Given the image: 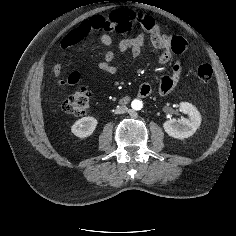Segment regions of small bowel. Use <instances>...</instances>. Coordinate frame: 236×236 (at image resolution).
Returning <instances> with one entry per match:
<instances>
[{"instance_id":"small-bowel-1","label":"small bowel","mask_w":236,"mask_h":236,"mask_svg":"<svg viewBox=\"0 0 236 236\" xmlns=\"http://www.w3.org/2000/svg\"><path fill=\"white\" fill-rule=\"evenodd\" d=\"M141 28L149 34L152 45L162 50L158 56V63L166 65L173 60L174 55H181L188 51L189 45L183 36H169L162 33L155 25L154 20L148 17L141 25ZM144 34L139 33L133 37L123 38L118 43V51L120 53L130 52L134 57L142 53L144 47ZM100 41L104 46L112 44V37L102 31ZM75 43H72L70 36H66L62 41V48L67 49ZM115 53L111 50L105 52L103 60L99 63V68L106 74L114 75L117 72V67L113 64ZM184 72V65L180 58L174 59L171 75L163 76L159 82V92L162 95H168L174 91L176 86L182 79ZM53 73L57 78V84L60 86L74 84L78 81L77 73H72L67 78H63L62 66L56 63L53 66ZM152 91V87L148 83H143L139 87V95L142 97L148 96Z\"/></svg>"}]
</instances>
